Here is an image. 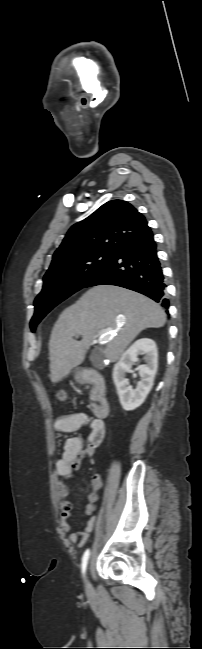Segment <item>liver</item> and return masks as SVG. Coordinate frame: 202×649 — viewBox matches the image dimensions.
I'll return each instance as SVG.
<instances>
[{
    "label": "liver",
    "instance_id": "1",
    "mask_svg": "<svg viewBox=\"0 0 202 649\" xmlns=\"http://www.w3.org/2000/svg\"><path fill=\"white\" fill-rule=\"evenodd\" d=\"M165 322L162 307L136 291L113 285L89 289L60 314L52 329L51 382H60L84 361L98 333L112 332L103 354L115 362L142 330L163 327ZM76 335H81L82 340L73 339Z\"/></svg>",
    "mask_w": 202,
    "mask_h": 649
}]
</instances>
